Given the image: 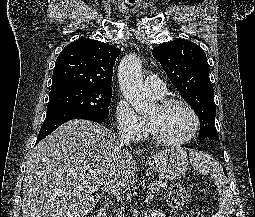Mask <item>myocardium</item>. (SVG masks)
<instances>
[{
  "instance_id": "f54148a6",
  "label": "myocardium",
  "mask_w": 255,
  "mask_h": 217,
  "mask_svg": "<svg viewBox=\"0 0 255 217\" xmlns=\"http://www.w3.org/2000/svg\"><path fill=\"white\" fill-rule=\"evenodd\" d=\"M174 104H181V105L185 106L189 110L190 114L192 115L193 122H194L193 129L187 137H185L183 139H179V140H170V139L164 138L157 132L153 123L148 119L149 131H150L152 138L156 142L163 144V145H167V146H181V145H185V144L191 142L196 137L197 133L199 132L200 125H201L200 117H199L196 109L186 99H183L180 97L165 98V99L160 100L158 106L161 109H166Z\"/></svg>"
}]
</instances>
